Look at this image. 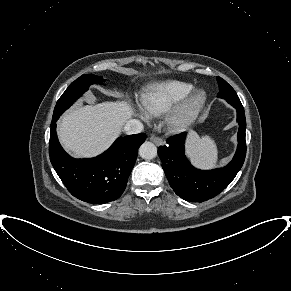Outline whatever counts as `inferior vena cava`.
Listing matches in <instances>:
<instances>
[{"instance_id": "obj_1", "label": "inferior vena cava", "mask_w": 291, "mask_h": 291, "mask_svg": "<svg viewBox=\"0 0 291 291\" xmlns=\"http://www.w3.org/2000/svg\"><path fill=\"white\" fill-rule=\"evenodd\" d=\"M143 129H144L143 124L136 119L127 121L124 126V132L127 135L141 133Z\"/></svg>"}]
</instances>
